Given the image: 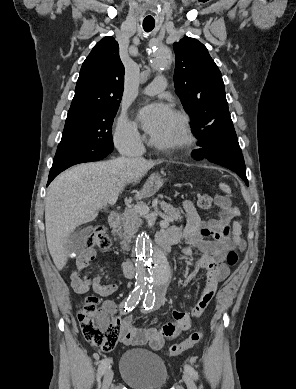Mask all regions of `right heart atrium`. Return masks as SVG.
I'll return each instance as SVG.
<instances>
[{
  "instance_id": "obj_1",
  "label": "right heart atrium",
  "mask_w": 296,
  "mask_h": 389,
  "mask_svg": "<svg viewBox=\"0 0 296 389\" xmlns=\"http://www.w3.org/2000/svg\"><path fill=\"white\" fill-rule=\"evenodd\" d=\"M114 142L121 151L134 149L141 143V136L136 124L125 113H121L117 119Z\"/></svg>"
}]
</instances>
